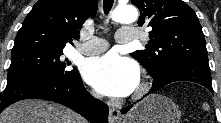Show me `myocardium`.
I'll return each instance as SVG.
<instances>
[{"label": "myocardium", "instance_id": "obj_1", "mask_svg": "<svg viewBox=\"0 0 221 123\" xmlns=\"http://www.w3.org/2000/svg\"><path fill=\"white\" fill-rule=\"evenodd\" d=\"M148 88L149 86L147 82H141L135 90L134 98L135 99L141 98L148 91Z\"/></svg>", "mask_w": 221, "mask_h": 123}]
</instances>
